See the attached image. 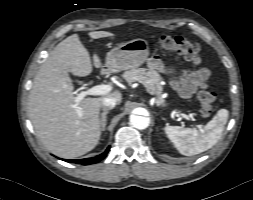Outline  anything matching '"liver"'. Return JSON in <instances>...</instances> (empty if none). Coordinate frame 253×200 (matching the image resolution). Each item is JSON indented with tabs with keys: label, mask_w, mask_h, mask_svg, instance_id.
I'll use <instances>...</instances> for the list:
<instances>
[{
	"label": "liver",
	"mask_w": 253,
	"mask_h": 200,
	"mask_svg": "<svg viewBox=\"0 0 253 200\" xmlns=\"http://www.w3.org/2000/svg\"><path fill=\"white\" fill-rule=\"evenodd\" d=\"M106 31L89 32L92 39L109 37ZM94 66L101 68L99 56ZM69 72L85 77L92 72L87 49L73 34L61 41L40 66L28 97V116L37 137L54 155L71 159L91 151L101 135L100 109L105 97L122 101V93L114 90L97 98H84L75 104V91Z\"/></svg>",
	"instance_id": "6515ba94"
}]
</instances>
